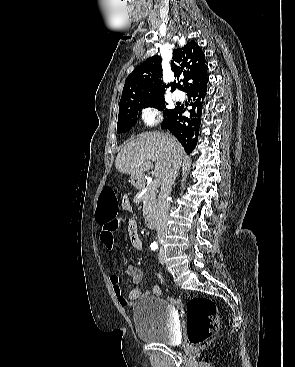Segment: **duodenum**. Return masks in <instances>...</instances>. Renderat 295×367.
I'll return each instance as SVG.
<instances>
[{"mask_svg": "<svg viewBox=\"0 0 295 367\" xmlns=\"http://www.w3.org/2000/svg\"><path fill=\"white\" fill-rule=\"evenodd\" d=\"M157 222V213L151 212L145 217V224L148 228H153Z\"/></svg>", "mask_w": 295, "mask_h": 367, "instance_id": "410a0bca", "label": "duodenum"}]
</instances>
